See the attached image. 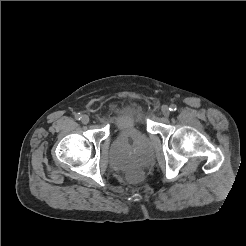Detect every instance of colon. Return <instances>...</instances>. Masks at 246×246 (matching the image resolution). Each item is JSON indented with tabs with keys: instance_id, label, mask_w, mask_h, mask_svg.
I'll return each instance as SVG.
<instances>
[{
	"instance_id": "5ec220e1",
	"label": "colon",
	"mask_w": 246,
	"mask_h": 246,
	"mask_svg": "<svg viewBox=\"0 0 246 246\" xmlns=\"http://www.w3.org/2000/svg\"><path fill=\"white\" fill-rule=\"evenodd\" d=\"M131 178H132V179H136V178H137V174H136V173H132V174H131Z\"/></svg>"
}]
</instances>
